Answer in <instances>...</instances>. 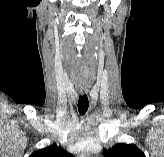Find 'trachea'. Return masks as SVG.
Masks as SVG:
<instances>
[{
    "label": "trachea",
    "instance_id": "1",
    "mask_svg": "<svg viewBox=\"0 0 164 157\" xmlns=\"http://www.w3.org/2000/svg\"><path fill=\"white\" fill-rule=\"evenodd\" d=\"M88 106H89V101H88V97L86 94L81 95L79 97L78 100V111L81 115H84L87 110H88Z\"/></svg>",
    "mask_w": 164,
    "mask_h": 157
}]
</instances>
